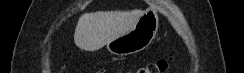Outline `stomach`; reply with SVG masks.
<instances>
[{"label":"stomach","mask_w":244,"mask_h":73,"mask_svg":"<svg viewBox=\"0 0 244 73\" xmlns=\"http://www.w3.org/2000/svg\"><path fill=\"white\" fill-rule=\"evenodd\" d=\"M159 26L157 12L147 9L132 28L106 43L108 51L117 56H127L146 49L155 39Z\"/></svg>","instance_id":"0dacf381"}]
</instances>
